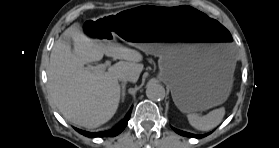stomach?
I'll return each mask as SVG.
<instances>
[{
    "label": "stomach",
    "mask_w": 279,
    "mask_h": 148,
    "mask_svg": "<svg viewBox=\"0 0 279 148\" xmlns=\"http://www.w3.org/2000/svg\"><path fill=\"white\" fill-rule=\"evenodd\" d=\"M89 44L116 38L159 57V78L183 113L223 103L232 88L238 46L231 32L192 7L133 5L125 12L90 16L80 26Z\"/></svg>",
    "instance_id": "obj_1"
}]
</instances>
